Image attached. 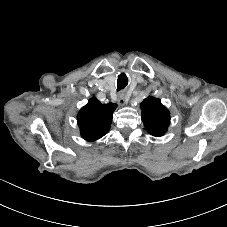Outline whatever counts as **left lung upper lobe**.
Returning <instances> with one entry per match:
<instances>
[{
    "label": "left lung upper lobe",
    "mask_w": 227,
    "mask_h": 227,
    "mask_svg": "<svg viewBox=\"0 0 227 227\" xmlns=\"http://www.w3.org/2000/svg\"><path fill=\"white\" fill-rule=\"evenodd\" d=\"M142 109V121L148 133L160 137L164 135L170 124V113L160 99L147 97L140 104Z\"/></svg>",
    "instance_id": "obj_1"
}]
</instances>
